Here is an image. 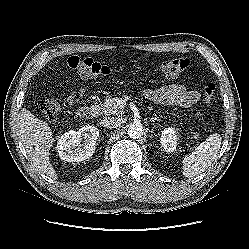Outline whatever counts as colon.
Wrapping results in <instances>:
<instances>
[{
    "label": "colon",
    "mask_w": 249,
    "mask_h": 249,
    "mask_svg": "<svg viewBox=\"0 0 249 249\" xmlns=\"http://www.w3.org/2000/svg\"><path fill=\"white\" fill-rule=\"evenodd\" d=\"M67 65L75 70L78 75L85 79H95L98 77L108 76L111 74H120L127 72H135L140 66L134 63H125L119 65H106L95 61L87 56L73 55L67 58ZM190 65L188 58H170L164 60L154 67V71L160 73L166 78H174L186 70ZM216 85L207 83L203 88L204 100L207 104L212 102ZM39 108L45 118L49 121H55L62 111V102L54 99H41Z\"/></svg>",
    "instance_id": "obj_1"
}]
</instances>
